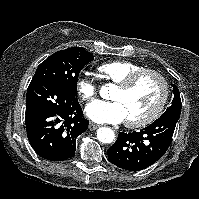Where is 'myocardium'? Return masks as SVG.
<instances>
[{
    "instance_id": "obj_1",
    "label": "myocardium",
    "mask_w": 199,
    "mask_h": 199,
    "mask_svg": "<svg viewBox=\"0 0 199 199\" xmlns=\"http://www.w3.org/2000/svg\"><path fill=\"white\" fill-rule=\"evenodd\" d=\"M146 75H152L160 81L162 86V93L155 107L148 115L140 119L126 120V125L131 128L144 127L153 123L163 112L169 98V84L166 77L154 69L144 68L132 73L122 82L118 83L117 88L121 89L122 91H128Z\"/></svg>"
}]
</instances>
